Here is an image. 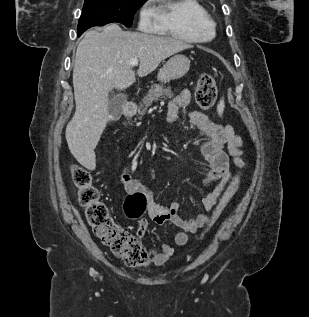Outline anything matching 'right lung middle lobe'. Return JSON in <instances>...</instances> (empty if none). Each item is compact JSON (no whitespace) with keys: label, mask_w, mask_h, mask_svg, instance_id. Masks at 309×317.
Instances as JSON below:
<instances>
[{"label":"right lung middle lobe","mask_w":309,"mask_h":317,"mask_svg":"<svg viewBox=\"0 0 309 317\" xmlns=\"http://www.w3.org/2000/svg\"><path fill=\"white\" fill-rule=\"evenodd\" d=\"M147 0H85L78 23V32L92 26L117 22L132 26L133 16Z\"/></svg>","instance_id":"1"}]
</instances>
